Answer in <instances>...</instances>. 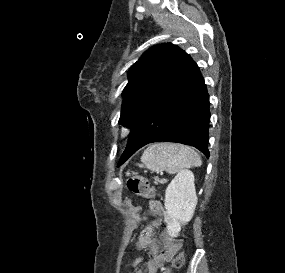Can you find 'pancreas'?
I'll return each mask as SVG.
<instances>
[{
    "label": "pancreas",
    "mask_w": 285,
    "mask_h": 273,
    "mask_svg": "<svg viewBox=\"0 0 285 273\" xmlns=\"http://www.w3.org/2000/svg\"><path fill=\"white\" fill-rule=\"evenodd\" d=\"M157 182H160V183H164V180H155V184L157 183Z\"/></svg>",
    "instance_id": "pancreas-1"
}]
</instances>
